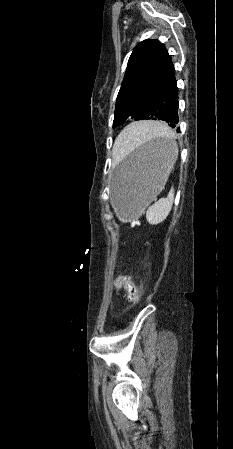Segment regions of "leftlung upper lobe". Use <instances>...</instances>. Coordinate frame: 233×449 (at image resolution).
<instances>
[{
    "mask_svg": "<svg viewBox=\"0 0 233 449\" xmlns=\"http://www.w3.org/2000/svg\"><path fill=\"white\" fill-rule=\"evenodd\" d=\"M174 74L171 56L160 41L147 39L138 43L117 96L113 128L128 119H146L151 102Z\"/></svg>",
    "mask_w": 233,
    "mask_h": 449,
    "instance_id": "5c2ea615",
    "label": "left lung upper lobe"
}]
</instances>
